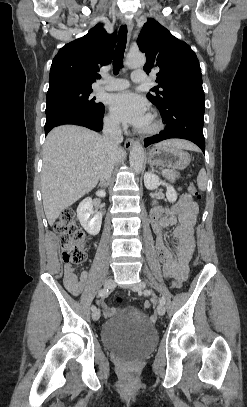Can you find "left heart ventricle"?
Returning <instances> with one entry per match:
<instances>
[{
  "instance_id": "b2bd125f",
  "label": "left heart ventricle",
  "mask_w": 247,
  "mask_h": 407,
  "mask_svg": "<svg viewBox=\"0 0 247 407\" xmlns=\"http://www.w3.org/2000/svg\"><path fill=\"white\" fill-rule=\"evenodd\" d=\"M148 124H149V121H148V123H147L144 127L148 126Z\"/></svg>"
}]
</instances>
